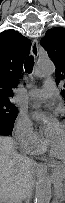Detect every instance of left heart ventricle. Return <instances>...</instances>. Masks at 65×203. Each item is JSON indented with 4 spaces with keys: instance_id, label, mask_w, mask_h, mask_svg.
<instances>
[{
    "instance_id": "1",
    "label": "left heart ventricle",
    "mask_w": 65,
    "mask_h": 203,
    "mask_svg": "<svg viewBox=\"0 0 65 203\" xmlns=\"http://www.w3.org/2000/svg\"><path fill=\"white\" fill-rule=\"evenodd\" d=\"M47 134L55 150L58 153H64L65 152V125L61 123H54L50 127Z\"/></svg>"
}]
</instances>
